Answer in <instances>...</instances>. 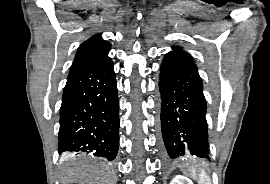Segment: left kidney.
I'll return each mask as SVG.
<instances>
[{
	"mask_svg": "<svg viewBox=\"0 0 270 184\" xmlns=\"http://www.w3.org/2000/svg\"><path fill=\"white\" fill-rule=\"evenodd\" d=\"M170 184H194V183L187 177L177 175L171 180Z\"/></svg>",
	"mask_w": 270,
	"mask_h": 184,
	"instance_id": "left-kidney-1",
	"label": "left kidney"
}]
</instances>
